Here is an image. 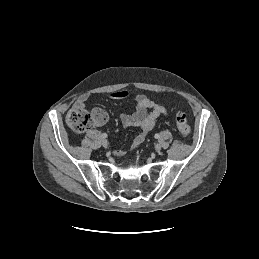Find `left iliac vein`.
<instances>
[{
    "instance_id": "4c4485c4",
    "label": "left iliac vein",
    "mask_w": 259,
    "mask_h": 259,
    "mask_svg": "<svg viewBox=\"0 0 259 259\" xmlns=\"http://www.w3.org/2000/svg\"><path fill=\"white\" fill-rule=\"evenodd\" d=\"M155 150H156L157 152H159V151L161 150V145H160V144H156V145H155Z\"/></svg>"
}]
</instances>
